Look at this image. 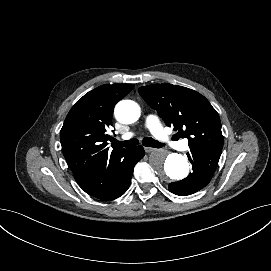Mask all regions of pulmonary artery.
<instances>
[{
  "mask_svg": "<svg viewBox=\"0 0 271 271\" xmlns=\"http://www.w3.org/2000/svg\"><path fill=\"white\" fill-rule=\"evenodd\" d=\"M145 126L150 130L155 138L164 146H169L171 149H177L178 151H186L188 144L177 140H172L171 136L167 135L165 130L162 128L161 119L155 113L148 114L144 119ZM134 136L133 133H127L120 137V140H129Z\"/></svg>",
  "mask_w": 271,
  "mask_h": 271,
  "instance_id": "obj_1",
  "label": "pulmonary artery"
}]
</instances>
